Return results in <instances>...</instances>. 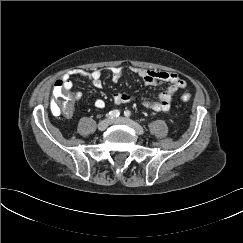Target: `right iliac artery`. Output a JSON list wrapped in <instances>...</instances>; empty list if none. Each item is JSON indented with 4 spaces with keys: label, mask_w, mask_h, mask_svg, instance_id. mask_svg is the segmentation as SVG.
<instances>
[{
    "label": "right iliac artery",
    "mask_w": 243,
    "mask_h": 243,
    "mask_svg": "<svg viewBox=\"0 0 243 243\" xmlns=\"http://www.w3.org/2000/svg\"><path fill=\"white\" fill-rule=\"evenodd\" d=\"M119 115H120V111L119 110H112L106 116L109 119H113V118H117Z\"/></svg>",
    "instance_id": "right-iliac-artery-1"
}]
</instances>
